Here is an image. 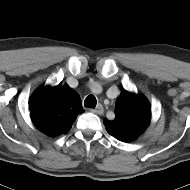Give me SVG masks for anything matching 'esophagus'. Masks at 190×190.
<instances>
[{"label": "esophagus", "mask_w": 190, "mask_h": 190, "mask_svg": "<svg viewBox=\"0 0 190 190\" xmlns=\"http://www.w3.org/2000/svg\"><path fill=\"white\" fill-rule=\"evenodd\" d=\"M90 111L95 114L102 115L104 113V108L101 104H98L95 109H90Z\"/></svg>", "instance_id": "esophagus-1"}]
</instances>
